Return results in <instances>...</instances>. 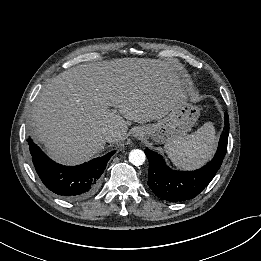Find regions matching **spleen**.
<instances>
[{
  "label": "spleen",
  "instance_id": "spleen-1",
  "mask_svg": "<svg viewBox=\"0 0 261 261\" xmlns=\"http://www.w3.org/2000/svg\"><path fill=\"white\" fill-rule=\"evenodd\" d=\"M216 135L212 122L183 138L167 142L164 146L173 164L183 169H194L208 161L216 149Z\"/></svg>",
  "mask_w": 261,
  "mask_h": 261
}]
</instances>
